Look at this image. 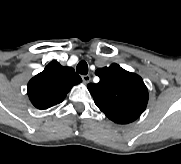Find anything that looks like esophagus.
<instances>
[{"label": "esophagus", "instance_id": "34e87169", "mask_svg": "<svg viewBox=\"0 0 181 164\" xmlns=\"http://www.w3.org/2000/svg\"><path fill=\"white\" fill-rule=\"evenodd\" d=\"M82 80L84 81V83H89L91 80V77L90 75H83Z\"/></svg>", "mask_w": 181, "mask_h": 164}]
</instances>
